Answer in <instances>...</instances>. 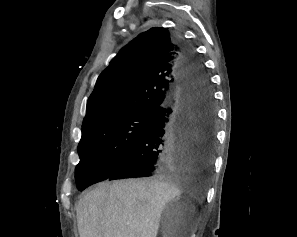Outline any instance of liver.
I'll list each match as a JSON object with an SVG mask.
<instances>
[{
	"instance_id": "liver-1",
	"label": "liver",
	"mask_w": 297,
	"mask_h": 237,
	"mask_svg": "<svg viewBox=\"0 0 297 237\" xmlns=\"http://www.w3.org/2000/svg\"><path fill=\"white\" fill-rule=\"evenodd\" d=\"M194 192L180 174L101 183L76 206L80 237H156L165 205Z\"/></svg>"
}]
</instances>
